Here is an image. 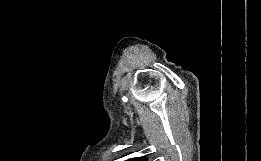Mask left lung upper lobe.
<instances>
[{
    "mask_svg": "<svg viewBox=\"0 0 261 161\" xmlns=\"http://www.w3.org/2000/svg\"><path fill=\"white\" fill-rule=\"evenodd\" d=\"M127 161H147L145 158H132Z\"/></svg>",
    "mask_w": 261,
    "mask_h": 161,
    "instance_id": "1",
    "label": "left lung upper lobe"
}]
</instances>
